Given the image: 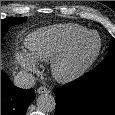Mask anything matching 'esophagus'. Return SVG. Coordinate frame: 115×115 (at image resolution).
Wrapping results in <instances>:
<instances>
[{"instance_id":"obj_1","label":"esophagus","mask_w":115,"mask_h":115,"mask_svg":"<svg viewBox=\"0 0 115 115\" xmlns=\"http://www.w3.org/2000/svg\"><path fill=\"white\" fill-rule=\"evenodd\" d=\"M37 93L38 94H48L50 93V90L45 86H41L37 89Z\"/></svg>"}]
</instances>
